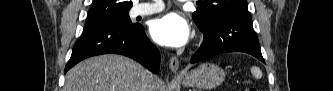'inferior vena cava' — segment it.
<instances>
[{
  "instance_id": "1",
  "label": "inferior vena cava",
  "mask_w": 333,
  "mask_h": 91,
  "mask_svg": "<svg viewBox=\"0 0 333 91\" xmlns=\"http://www.w3.org/2000/svg\"><path fill=\"white\" fill-rule=\"evenodd\" d=\"M152 79L148 78L142 87V91H153Z\"/></svg>"
}]
</instances>
